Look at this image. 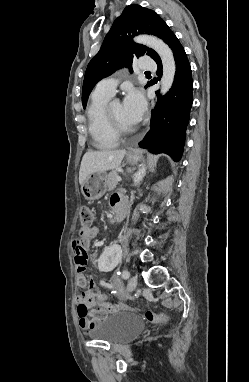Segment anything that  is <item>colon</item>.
Returning a JSON list of instances; mask_svg holds the SVG:
<instances>
[{"instance_id":"5ec220e1","label":"colon","mask_w":249,"mask_h":382,"mask_svg":"<svg viewBox=\"0 0 249 382\" xmlns=\"http://www.w3.org/2000/svg\"><path fill=\"white\" fill-rule=\"evenodd\" d=\"M79 220L82 228H90L92 222H93V211L91 208L87 206H82L79 210ZM73 254L75 263L77 265V273L75 274L76 281L77 282H85L86 276L83 275L87 269L88 261H89V255L87 252V248H74L73 246ZM87 281L90 282L89 288L92 294L95 296L96 300L104 305L109 311H117L119 309V306H116L114 304H111L107 301V298L105 295L101 294L96 285L94 284L95 281V274L93 272H90L87 276ZM144 318L150 322V323H162V322H168L169 317L166 316L163 313H155L152 311H145L144 312Z\"/></svg>"}]
</instances>
